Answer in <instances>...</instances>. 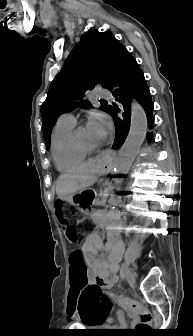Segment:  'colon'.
Listing matches in <instances>:
<instances>
[{"label": "colon", "instance_id": "obj_1", "mask_svg": "<svg viewBox=\"0 0 193 336\" xmlns=\"http://www.w3.org/2000/svg\"><path fill=\"white\" fill-rule=\"evenodd\" d=\"M57 214L59 222L65 230L67 239L72 243L78 242L80 238V226L72 223L73 219L78 218L77 211L60 203L57 205ZM71 274L76 281L73 286L78 290L75 296L78 312L83 319H88L90 317L88 298L93 296L104 297L103 284L100 281L91 284L87 283L85 264L79 252L75 253L71 258ZM125 306L139 315L140 321L135 329H133V333H142L151 327L153 316L144 305L126 300Z\"/></svg>", "mask_w": 193, "mask_h": 336}]
</instances>
